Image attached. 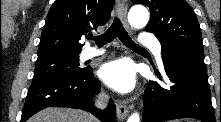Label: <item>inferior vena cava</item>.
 I'll return each mask as SVG.
<instances>
[{
	"instance_id": "obj_1",
	"label": "inferior vena cava",
	"mask_w": 221,
	"mask_h": 122,
	"mask_svg": "<svg viewBox=\"0 0 221 122\" xmlns=\"http://www.w3.org/2000/svg\"><path fill=\"white\" fill-rule=\"evenodd\" d=\"M108 96L104 93H100L95 100V106L100 109H104L108 105Z\"/></svg>"
}]
</instances>
